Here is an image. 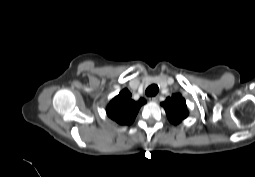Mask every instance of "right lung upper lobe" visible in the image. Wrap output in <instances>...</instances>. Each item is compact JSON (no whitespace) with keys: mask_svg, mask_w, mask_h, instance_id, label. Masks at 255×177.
<instances>
[{"mask_svg":"<svg viewBox=\"0 0 255 177\" xmlns=\"http://www.w3.org/2000/svg\"><path fill=\"white\" fill-rule=\"evenodd\" d=\"M146 103L144 98L138 101L131 99V93L123 89L108 104L106 112L110 119L120 125H130L133 123L140 107Z\"/></svg>","mask_w":255,"mask_h":177,"instance_id":"right-lung-upper-lobe-1","label":"right lung upper lobe"}]
</instances>
